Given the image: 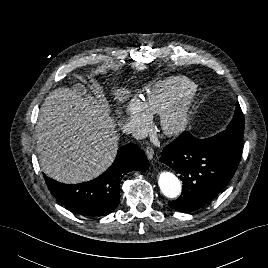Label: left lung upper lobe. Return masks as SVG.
Wrapping results in <instances>:
<instances>
[{
	"label": "left lung upper lobe",
	"mask_w": 268,
	"mask_h": 268,
	"mask_svg": "<svg viewBox=\"0 0 268 268\" xmlns=\"http://www.w3.org/2000/svg\"><path fill=\"white\" fill-rule=\"evenodd\" d=\"M244 134V116L239 103L236 104V110L232 121L227 128L209 139L215 144L228 148L236 153H242Z\"/></svg>",
	"instance_id": "1"
}]
</instances>
